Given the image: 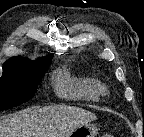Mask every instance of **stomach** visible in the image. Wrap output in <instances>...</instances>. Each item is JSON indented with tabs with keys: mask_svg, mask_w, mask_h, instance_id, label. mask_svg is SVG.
I'll return each instance as SVG.
<instances>
[{
	"mask_svg": "<svg viewBox=\"0 0 144 137\" xmlns=\"http://www.w3.org/2000/svg\"><path fill=\"white\" fill-rule=\"evenodd\" d=\"M98 128L93 124H84L70 133L68 137H96Z\"/></svg>",
	"mask_w": 144,
	"mask_h": 137,
	"instance_id": "obj_1",
	"label": "stomach"
}]
</instances>
